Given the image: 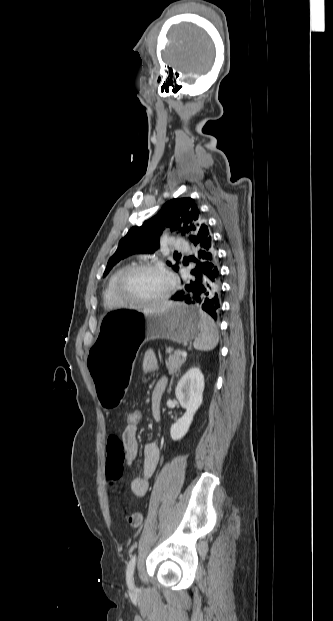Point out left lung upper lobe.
I'll return each instance as SVG.
<instances>
[{
  "instance_id": "1",
  "label": "left lung upper lobe",
  "mask_w": 333,
  "mask_h": 621,
  "mask_svg": "<svg viewBox=\"0 0 333 621\" xmlns=\"http://www.w3.org/2000/svg\"><path fill=\"white\" fill-rule=\"evenodd\" d=\"M207 225L200 216V211L192 198H175L160 209L151 219L141 226H133L127 235L119 242V246L113 256L110 257L104 276L120 260L134 253H153L159 248L160 235L165 227L178 230L182 233H192L190 240L196 238L200 229ZM174 271H178V262L171 265Z\"/></svg>"
}]
</instances>
